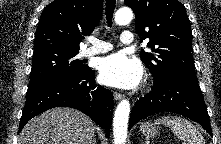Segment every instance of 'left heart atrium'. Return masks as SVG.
Returning a JSON list of instances; mask_svg holds the SVG:
<instances>
[{"mask_svg": "<svg viewBox=\"0 0 221 144\" xmlns=\"http://www.w3.org/2000/svg\"><path fill=\"white\" fill-rule=\"evenodd\" d=\"M141 77L139 62L124 53L111 54L100 62L99 79L105 85L129 89L137 86Z\"/></svg>", "mask_w": 221, "mask_h": 144, "instance_id": "obj_1", "label": "left heart atrium"}]
</instances>
